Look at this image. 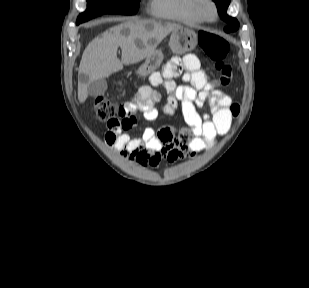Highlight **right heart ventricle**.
<instances>
[{"instance_id":"e07e8e85","label":"right heart ventricle","mask_w":309,"mask_h":288,"mask_svg":"<svg viewBox=\"0 0 309 288\" xmlns=\"http://www.w3.org/2000/svg\"><path fill=\"white\" fill-rule=\"evenodd\" d=\"M195 0H150V13L162 19L186 24H199L202 21L195 13Z\"/></svg>"}]
</instances>
